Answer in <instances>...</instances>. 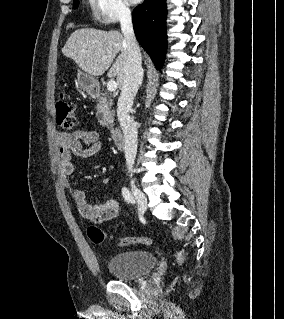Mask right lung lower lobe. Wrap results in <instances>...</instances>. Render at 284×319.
Returning <instances> with one entry per match:
<instances>
[{"label":"right lung lower lobe","mask_w":284,"mask_h":319,"mask_svg":"<svg viewBox=\"0 0 284 319\" xmlns=\"http://www.w3.org/2000/svg\"><path fill=\"white\" fill-rule=\"evenodd\" d=\"M166 0H145L133 11L134 31L138 42L160 69L166 54Z\"/></svg>","instance_id":"1"}]
</instances>
